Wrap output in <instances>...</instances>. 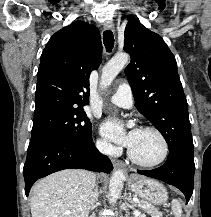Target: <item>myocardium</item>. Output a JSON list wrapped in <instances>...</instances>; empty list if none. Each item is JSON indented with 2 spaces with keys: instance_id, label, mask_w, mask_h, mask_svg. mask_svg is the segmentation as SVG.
<instances>
[{
  "instance_id": "myocardium-1",
  "label": "myocardium",
  "mask_w": 211,
  "mask_h": 217,
  "mask_svg": "<svg viewBox=\"0 0 211 217\" xmlns=\"http://www.w3.org/2000/svg\"><path fill=\"white\" fill-rule=\"evenodd\" d=\"M140 130L151 131V132L156 133L162 141L163 153H162L161 157L154 162H143V161L137 159L133 155V153L131 152V150L129 148L127 151L128 158L134 164L141 166V167H145V168H153V167H157V166L161 165L162 163L165 162V160L167 159V157L169 155V144H168L167 138L165 137V135L163 134V132L161 130H159L158 128H156L154 126H143L140 128Z\"/></svg>"
}]
</instances>
